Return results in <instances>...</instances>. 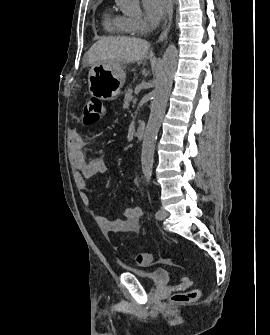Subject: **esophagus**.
<instances>
[{
	"instance_id": "1",
	"label": "esophagus",
	"mask_w": 270,
	"mask_h": 335,
	"mask_svg": "<svg viewBox=\"0 0 270 335\" xmlns=\"http://www.w3.org/2000/svg\"><path fill=\"white\" fill-rule=\"evenodd\" d=\"M168 1V12H167V16L163 25V29L162 32L159 36L158 41L162 42L168 35V32L170 30L171 27V23H172V15H173V0H167Z\"/></svg>"
}]
</instances>
